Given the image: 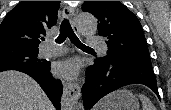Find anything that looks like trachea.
Listing matches in <instances>:
<instances>
[{"mask_svg":"<svg viewBox=\"0 0 171 110\" xmlns=\"http://www.w3.org/2000/svg\"><path fill=\"white\" fill-rule=\"evenodd\" d=\"M69 38L70 41L77 46L78 48H84V49H92L89 46L84 45L78 37L75 35V33L72 30V27L67 19H64L60 25V34L58 38L56 39V42L61 44L63 43L66 38ZM44 40V39H42Z\"/></svg>","mask_w":171,"mask_h":110,"instance_id":"3493384b","label":"trachea"}]
</instances>
